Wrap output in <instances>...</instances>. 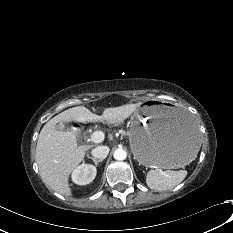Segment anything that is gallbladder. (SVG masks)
I'll return each instance as SVG.
<instances>
[{
    "mask_svg": "<svg viewBox=\"0 0 233 233\" xmlns=\"http://www.w3.org/2000/svg\"><path fill=\"white\" fill-rule=\"evenodd\" d=\"M57 128H58V129H64V128H65L64 123H59V124L57 125Z\"/></svg>",
    "mask_w": 233,
    "mask_h": 233,
    "instance_id": "1",
    "label": "gallbladder"
}]
</instances>
